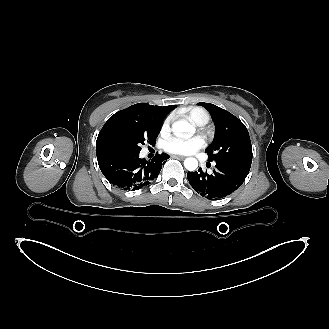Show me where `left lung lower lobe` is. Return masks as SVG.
I'll return each mask as SVG.
<instances>
[{
	"mask_svg": "<svg viewBox=\"0 0 329 329\" xmlns=\"http://www.w3.org/2000/svg\"><path fill=\"white\" fill-rule=\"evenodd\" d=\"M249 172L237 167L216 162L213 174L204 173L201 168L188 172L187 178L192 188L207 199H221L237 190Z\"/></svg>",
	"mask_w": 329,
	"mask_h": 329,
	"instance_id": "0a47b994",
	"label": "left lung lower lobe"
}]
</instances>
